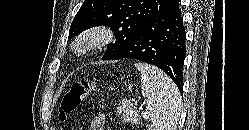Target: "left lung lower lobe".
Segmentation results:
<instances>
[{
    "label": "left lung lower lobe",
    "instance_id": "0a47b994",
    "mask_svg": "<svg viewBox=\"0 0 249 130\" xmlns=\"http://www.w3.org/2000/svg\"><path fill=\"white\" fill-rule=\"evenodd\" d=\"M185 40L181 7L174 0L167 10L144 24L110 60L130 58L155 65L172 78L182 94Z\"/></svg>",
    "mask_w": 249,
    "mask_h": 130
}]
</instances>
